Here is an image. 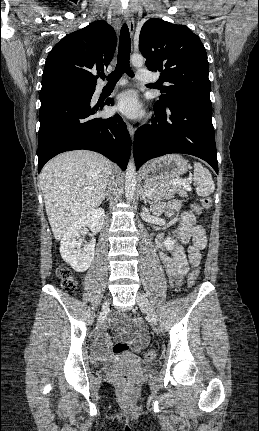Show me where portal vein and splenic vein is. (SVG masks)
Listing matches in <instances>:
<instances>
[{
  "mask_svg": "<svg viewBox=\"0 0 259 431\" xmlns=\"http://www.w3.org/2000/svg\"><path fill=\"white\" fill-rule=\"evenodd\" d=\"M170 183H172V184L180 183V184L184 185L188 190H190V185L187 183L186 180L177 179V180L171 181ZM150 194H151V191L149 189H145V195L149 196Z\"/></svg>",
  "mask_w": 259,
  "mask_h": 431,
  "instance_id": "obj_1",
  "label": "portal vein and splenic vein"
}]
</instances>
